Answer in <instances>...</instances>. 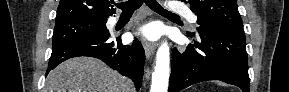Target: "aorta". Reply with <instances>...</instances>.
<instances>
[{
  "label": "aorta",
  "mask_w": 289,
  "mask_h": 92,
  "mask_svg": "<svg viewBox=\"0 0 289 92\" xmlns=\"http://www.w3.org/2000/svg\"><path fill=\"white\" fill-rule=\"evenodd\" d=\"M169 72L170 50L167 42H163L157 51L150 92H167Z\"/></svg>",
  "instance_id": "aorta-1"
}]
</instances>
